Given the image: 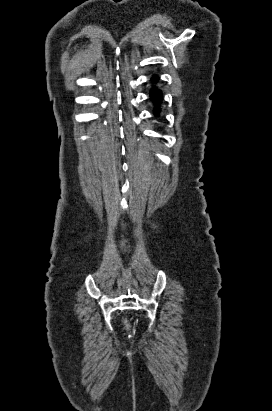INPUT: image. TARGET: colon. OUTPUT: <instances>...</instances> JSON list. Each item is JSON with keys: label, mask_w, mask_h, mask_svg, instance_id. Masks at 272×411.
<instances>
[{"label": "colon", "mask_w": 272, "mask_h": 411, "mask_svg": "<svg viewBox=\"0 0 272 411\" xmlns=\"http://www.w3.org/2000/svg\"><path fill=\"white\" fill-rule=\"evenodd\" d=\"M124 325H125V328H126L127 331H131L132 327H131V324L128 320L124 321Z\"/></svg>", "instance_id": "colon-1"}]
</instances>
